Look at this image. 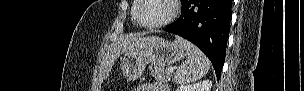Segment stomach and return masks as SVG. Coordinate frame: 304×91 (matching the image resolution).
<instances>
[{
    "instance_id": "1",
    "label": "stomach",
    "mask_w": 304,
    "mask_h": 91,
    "mask_svg": "<svg viewBox=\"0 0 304 91\" xmlns=\"http://www.w3.org/2000/svg\"><path fill=\"white\" fill-rule=\"evenodd\" d=\"M184 56L185 49L177 41L151 37L144 48L125 52L120 68L123 76L131 81L140 78L148 64L162 69Z\"/></svg>"
}]
</instances>
